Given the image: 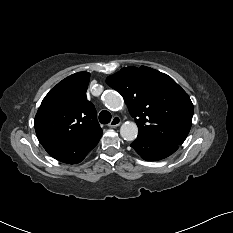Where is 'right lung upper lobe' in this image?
I'll return each instance as SVG.
<instances>
[{
  "label": "right lung upper lobe",
  "instance_id": "1",
  "mask_svg": "<svg viewBox=\"0 0 233 233\" xmlns=\"http://www.w3.org/2000/svg\"><path fill=\"white\" fill-rule=\"evenodd\" d=\"M89 77L87 72L70 75L45 96L34 120L42 145L79 144L102 133L96 110L86 98Z\"/></svg>",
  "mask_w": 233,
  "mask_h": 233
}]
</instances>
